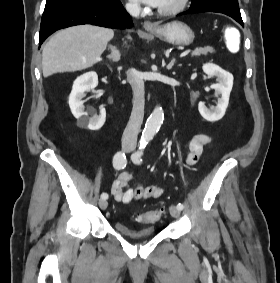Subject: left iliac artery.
Segmentation results:
<instances>
[{
	"label": "left iliac artery",
	"instance_id": "obj_1",
	"mask_svg": "<svg viewBox=\"0 0 280 283\" xmlns=\"http://www.w3.org/2000/svg\"><path fill=\"white\" fill-rule=\"evenodd\" d=\"M145 147H146V143L141 144L140 147H139V150L132 155L131 159L134 163L139 164L142 161L141 156L143 155V151H144ZM177 208L182 210L184 208V205L179 203L177 205Z\"/></svg>",
	"mask_w": 280,
	"mask_h": 283
}]
</instances>
